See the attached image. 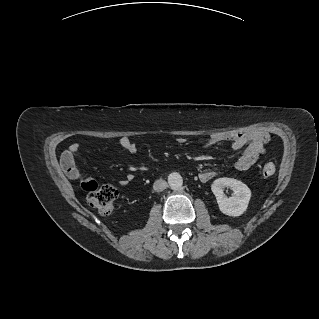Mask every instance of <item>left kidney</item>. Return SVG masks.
<instances>
[{
    "label": "left kidney",
    "instance_id": "5707ae66",
    "mask_svg": "<svg viewBox=\"0 0 319 319\" xmlns=\"http://www.w3.org/2000/svg\"><path fill=\"white\" fill-rule=\"evenodd\" d=\"M225 188L233 191L230 197L224 194ZM211 190L222 213L237 217L246 211L251 198V190L243 182L234 178H219L213 182Z\"/></svg>",
    "mask_w": 319,
    "mask_h": 319
}]
</instances>
